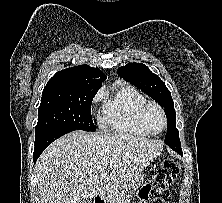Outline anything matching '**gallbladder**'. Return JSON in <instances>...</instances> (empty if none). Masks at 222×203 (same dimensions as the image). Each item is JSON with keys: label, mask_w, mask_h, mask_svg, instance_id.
<instances>
[{"label": "gallbladder", "mask_w": 222, "mask_h": 203, "mask_svg": "<svg viewBox=\"0 0 222 203\" xmlns=\"http://www.w3.org/2000/svg\"><path fill=\"white\" fill-rule=\"evenodd\" d=\"M80 203H91L90 199H83Z\"/></svg>", "instance_id": "gallbladder-1"}]
</instances>
